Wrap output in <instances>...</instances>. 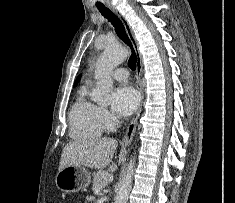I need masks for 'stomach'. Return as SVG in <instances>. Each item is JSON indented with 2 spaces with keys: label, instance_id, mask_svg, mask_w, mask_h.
<instances>
[{
  "label": "stomach",
  "instance_id": "obj_1",
  "mask_svg": "<svg viewBox=\"0 0 235 203\" xmlns=\"http://www.w3.org/2000/svg\"><path fill=\"white\" fill-rule=\"evenodd\" d=\"M91 182V174L84 166L71 165L60 170L55 178L56 186L66 193H74L86 188Z\"/></svg>",
  "mask_w": 235,
  "mask_h": 203
}]
</instances>
